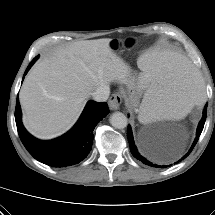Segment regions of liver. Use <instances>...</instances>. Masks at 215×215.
<instances>
[{"label":"liver","instance_id":"obj_1","mask_svg":"<svg viewBox=\"0 0 215 215\" xmlns=\"http://www.w3.org/2000/svg\"><path fill=\"white\" fill-rule=\"evenodd\" d=\"M110 42L70 43L35 63L19 93L23 123L31 134L41 139L63 134L77 121L92 92L111 82L124 83L129 66Z\"/></svg>","mask_w":215,"mask_h":215}]
</instances>
